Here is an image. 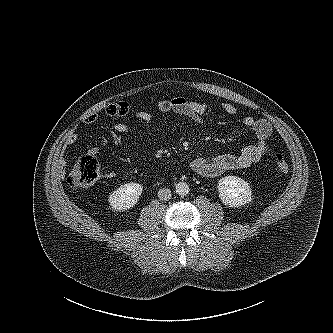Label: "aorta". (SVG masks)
<instances>
[{
    "label": "aorta",
    "mask_w": 333,
    "mask_h": 333,
    "mask_svg": "<svg viewBox=\"0 0 333 333\" xmlns=\"http://www.w3.org/2000/svg\"><path fill=\"white\" fill-rule=\"evenodd\" d=\"M175 189L176 193L180 196H186L189 193V186L184 182L177 183Z\"/></svg>",
    "instance_id": "762f6f07"
}]
</instances>
